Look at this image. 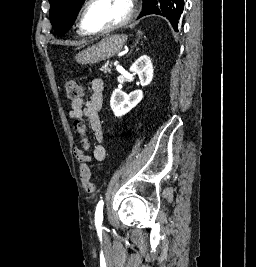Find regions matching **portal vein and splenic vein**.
<instances>
[{
    "instance_id": "18ae733b",
    "label": "portal vein and splenic vein",
    "mask_w": 256,
    "mask_h": 267,
    "mask_svg": "<svg viewBox=\"0 0 256 267\" xmlns=\"http://www.w3.org/2000/svg\"><path fill=\"white\" fill-rule=\"evenodd\" d=\"M114 65H115V66H119V65H120L119 60H116V61L114 62Z\"/></svg>"
}]
</instances>
